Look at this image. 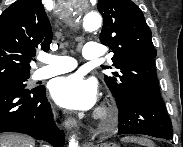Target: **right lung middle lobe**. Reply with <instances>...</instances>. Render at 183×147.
Wrapping results in <instances>:
<instances>
[{
    "label": "right lung middle lobe",
    "mask_w": 183,
    "mask_h": 147,
    "mask_svg": "<svg viewBox=\"0 0 183 147\" xmlns=\"http://www.w3.org/2000/svg\"><path fill=\"white\" fill-rule=\"evenodd\" d=\"M29 76L25 77H20V78H14V79H8L4 81H0V88L2 87H7V86H21V87H26L25 82Z\"/></svg>",
    "instance_id": "1"
}]
</instances>
